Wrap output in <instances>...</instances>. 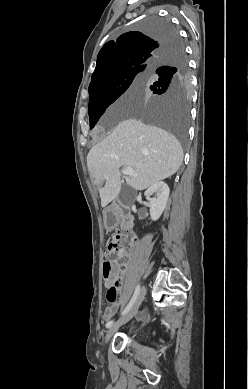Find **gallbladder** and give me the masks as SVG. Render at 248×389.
<instances>
[{
  "label": "gallbladder",
  "instance_id": "bac80fb5",
  "mask_svg": "<svg viewBox=\"0 0 248 389\" xmlns=\"http://www.w3.org/2000/svg\"><path fill=\"white\" fill-rule=\"evenodd\" d=\"M119 199L122 203L127 204L131 201L132 199V191L129 189L128 186H123L120 194H119Z\"/></svg>",
  "mask_w": 248,
  "mask_h": 389
}]
</instances>
